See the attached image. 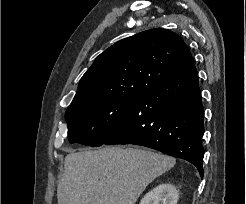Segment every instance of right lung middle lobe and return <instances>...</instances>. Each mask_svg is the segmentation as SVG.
<instances>
[{
  "mask_svg": "<svg viewBox=\"0 0 246 204\" xmlns=\"http://www.w3.org/2000/svg\"><path fill=\"white\" fill-rule=\"evenodd\" d=\"M139 95H108L70 105L65 114L69 142L104 144L122 126Z\"/></svg>",
  "mask_w": 246,
  "mask_h": 204,
  "instance_id": "obj_1",
  "label": "right lung middle lobe"
}]
</instances>
